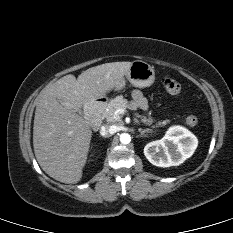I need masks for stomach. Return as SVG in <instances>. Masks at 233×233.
<instances>
[{"mask_svg": "<svg viewBox=\"0 0 233 233\" xmlns=\"http://www.w3.org/2000/svg\"><path fill=\"white\" fill-rule=\"evenodd\" d=\"M125 78L136 87H149L155 80L154 68L144 61H133ZM125 78L121 79L115 86L116 90H121L125 86Z\"/></svg>", "mask_w": 233, "mask_h": 233, "instance_id": "0dacf381", "label": "stomach"}]
</instances>
